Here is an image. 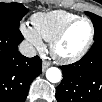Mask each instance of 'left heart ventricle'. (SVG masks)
<instances>
[{"label":"left heart ventricle","mask_w":102,"mask_h":102,"mask_svg":"<svg viewBox=\"0 0 102 102\" xmlns=\"http://www.w3.org/2000/svg\"><path fill=\"white\" fill-rule=\"evenodd\" d=\"M88 31L89 27L86 22H79L75 24L58 45V53L63 56H73L78 53L88 39Z\"/></svg>","instance_id":"left-heart-ventricle-1"}]
</instances>
